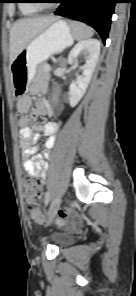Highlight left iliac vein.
Wrapping results in <instances>:
<instances>
[{"label":"left iliac vein","instance_id":"left-iliac-vein-1","mask_svg":"<svg viewBox=\"0 0 136 296\" xmlns=\"http://www.w3.org/2000/svg\"><path fill=\"white\" fill-rule=\"evenodd\" d=\"M61 204V197L57 196L50 205L48 210V223H50L56 215Z\"/></svg>","mask_w":136,"mask_h":296}]
</instances>
